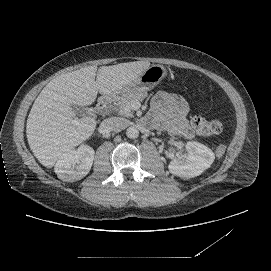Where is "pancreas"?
I'll list each match as a JSON object with an SVG mask.
<instances>
[{
  "mask_svg": "<svg viewBox=\"0 0 271 271\" xmlns=\"http://www.w3.org/2000/svg\"><path fill=\"white\" fill-rule=\"evenodd\" d=\"M146 97V93H135L125 95L123 98L119 99L116 103V108L122 113V115L132 118L135 108L132 107L134 102L143 100Z\"/></svg>",
  "mask_w": 271,
  "mask_h": 271,
  "instance_id": "1",
  "label": "pancreas"
}]
</instances>
